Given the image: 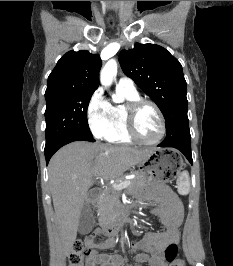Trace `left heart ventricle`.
Returning a JSON list of instances; mask_svg holds the SVG:
<instances>
[{
	"instance_id": "1",
	"label": "left heart ventricle",
	"mask_w": 233,
	"mask_h": 266,
	"mask_svg": "<svg viewBox=\"0 0 233 266\" xmlns=\"http://www.w3.org/2000/svg\"><path fill=\"white\" fill-rule=\"evenodd\" d=\"M160 128V120L154 108L149 105L141 107L136 116L138 135L144 140L152 141L158 137Z\"/></svg>"
}]
</instances>
